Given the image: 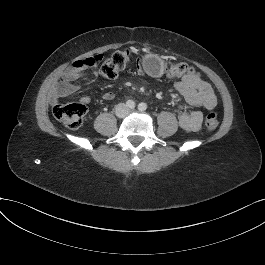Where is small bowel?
Instances as JSON below:
<instances>
[{
    "mask_svg": "<svg viewBox=\"0 0 265 265\" xmlns=\"http://www.w3.org/2000/svg\"><path fill=\"white\" fill-rule=\"evenodd\" d=\"M138 74L144 75V70L141 66H138ZM97 73L93 72V76ZM77 75L71 76L70 71L65 75L67 82L56 85L50 95L51 101H56L58 98L73 94L81 89L83 85L72 84L70 81L74 80ZM175 90L183 98L186 105L189 108H181L179 112V124L182 129L186 131H198L201 129L203 121L202 109L216 105L217 98L212 87L202 80L199 76H184L174 84ZM115 98L113 92L108 91L103 94L105 101H112ZM80 102L83 104H89L91 98L84 95L80 98Z\"/></svg>",
    "mask_w": 265,
    "mask_h": 265,
    "instance_id": "obj_1",
    "label": "small bowel"
}]
</instances>
